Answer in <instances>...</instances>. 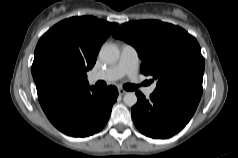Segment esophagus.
<instances>
[{"label":"esophagus","instance_id":"34e87169","mask_svg":"<svg viewBox=\"0 0 238 158\" xmlns=\"http://www.w3.org/2000/svg\"><path fill=\"white\" fill-rule=\"evenodd\" d=\"M118 92H119V95H124V94H126L127 92L124 90V89H118Z\"/></svg>","mask_w":238,"mask_h":158}]
</instances>
